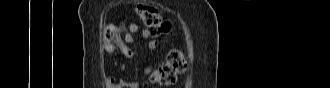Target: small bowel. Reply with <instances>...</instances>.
<instances>
[{"label":"small bowel","mask_w":330,"mask_h":88,"mask_svg":"<svg viewBox=\"0 0 330 88\" xmlns=\"http://www.w3.org/2000/svg\"><path fill=\"white\" fill-rule=\"evenodd\" d=\"M138 34L142 38H148L149 33L146 29L141 28L135 23L127 25L126 31L122 37L121 42L117 45L119 52L127 59H133L135 57L134 51L129 45L135 43V35ZM107 85L109 88H137L136 82H129L123 79H115L112 76L107 78Z\"/></svg>","instance_id":"c3829d8e"}]
</instances>
